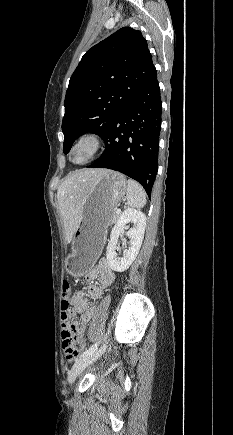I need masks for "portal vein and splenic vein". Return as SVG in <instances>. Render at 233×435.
Listing matches in <instances>:
<instances>
[{
	"mask_svg": "<svg viewBox=\"0 0 233 435\" xmlns=\"http://www.w3.org/2000/svg\"><path fill=\"white\" fill-rule=\"evenodd\" d=\"M120 211H121L120 209L117 210L118 213H119Z\"/></svg>",
	"mask_w": 233,
	"mask_h": 435,
	"instance_id": "portal-vein-and-splenic-vein-1",
	"label": "portal vein and splenic vein"
}]
</instances>
